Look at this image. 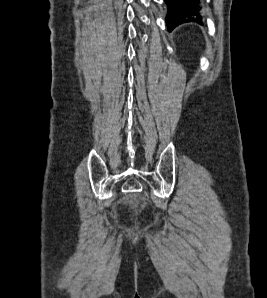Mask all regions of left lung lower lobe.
<instances>
[{
    "instance_id": "1",
    "label": "left lung lower lobe",
    "mask_w": 267,
    "mask_h": 298,
    "mask_svg": "<svg viewBox=\"0 0 267 298\" xmlns=\"http://www.w3.org/2000/svg\"><path fill=\"white\" fill-rule=\"evenodd\" d=\"M165 2L169 8L166 18L169 31L184 22L201 21L199 16V0H165Z\"/></svg>"
}]
</instances>
